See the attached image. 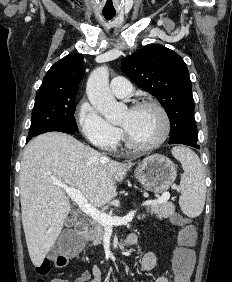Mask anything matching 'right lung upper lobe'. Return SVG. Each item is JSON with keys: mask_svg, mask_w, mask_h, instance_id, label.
I'll return each mask as SVG.
<instances>
[{"mask_svg": "<svg viewBox=\"0 0 232 282\" xmlns=\"http://www.w3.org/2000/svg\"><path fill=\"white\" fill-rule=\"evenodd\" d=\"M82 57L81 54L68 55L54 63L44 76L37 94H76L84 76Z\"/></svg>", "mask_w": 232, "mask_h": 282, "instance_id": "cb5924a9", "label": "right lung upper lobe"}]
</instances>
